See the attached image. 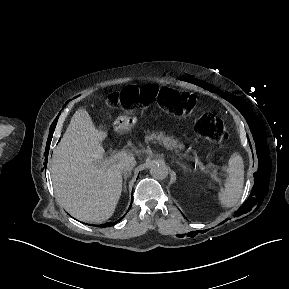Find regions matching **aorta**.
<instances>
[{"label": "aorta", "instance_id": "obj_1", "mask_svg": "<svg viewBox=\"0 0 289 289\" xmlns=\"http://www.w3.org/2000/svg\"><path fill=\"white\" fill-rule=\"evenodd\" d=\"M150 174L154 179L163 180L168 176V168L163 163H155L150 168Z\"/></svg>", "mask_w": 289, "mask_h": 289}]
</instances>
